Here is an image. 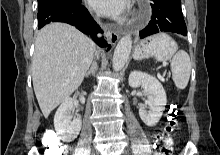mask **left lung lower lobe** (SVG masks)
<instances>
[{"label": "left lung lower lobe", "instance_id": "left-lung-lower-lobe-1", "mask_svg": "<svg viewBox=\"0 0 220 155\" xmlns=\"http://www.w3.org/2000/svg\"><path fill=\"white\" fill-rule=\"evenodd\" d=\"M151 7V21L140 31V38L159 32H174L187 35L181 0H152Z\"/></svg>", "mask_w": 220, "mask_h": 155}]
</instances>
